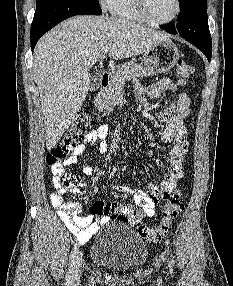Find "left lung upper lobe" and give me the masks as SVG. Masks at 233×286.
<instances>
[{
    "label": "left lung upper lobe",
    "instance_id": "5c2ea615",
    "mask_svg": "<svg viewBox=\"0 0 233 286\" xmlns=\"http://www.w3.org/2000/svg\"><path fill=\"white\" fill-rule=\"evenodd\" d=\"M207 4V0H179L180 16L177 17V22L185 20L199 7Z\"/></svg>",
    "mask_w": 233,
    "mask_h": 286
}]
</instances>
